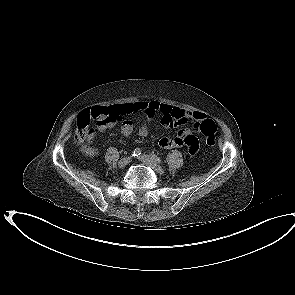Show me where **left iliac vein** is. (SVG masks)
<instances>
[{
	"label": "left iliac vein",
	"mask_w": 295,
	"mask_h": 295,
	"mask_svg": "<svg viewBox=\"0 0 295 295\" xmlns=\"http://www.w3.org/2000/svg\"><path fill=\"white\" fill-rule=\"evenodd\" d=\"M140 161H142L145 165L152 167L154 170H156L159 173H163L164 169L162 166L157 164L149 155L143 154L139 157Z\"/></svg>",
	"instance_id": "left-iliac-vein-1"
}]
</instances>
